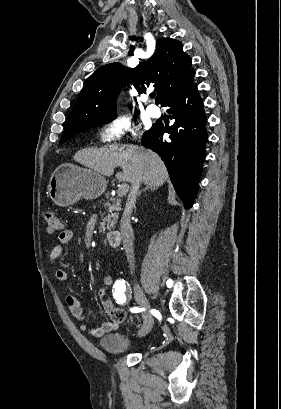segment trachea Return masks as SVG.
<instances>
[{
	"mask_svg": "<svg viewBox=\"0 0 281 409\" xmlns=\"http://www.w3.org/2000/svg\"><path fill=\"white\" fill-rule=\"evenodd\" d=\"M150 97H151V98H154V97H155V93H151V94H150Z\"/></svg>",
	"mask_w": 281,
	"mask_h": 409,
	"instance_id": "obj_1",
	"label": "trachea"
}]
</instances>
